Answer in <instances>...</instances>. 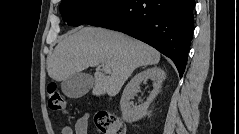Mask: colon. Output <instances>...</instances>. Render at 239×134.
<instances>
[{
  "instance_id": "colon-1",
  "label": "colon",
  "mask_w": 239,
  "mask_h": 134,
  "mask_svg": "<svg viewBox=\"0 0 239 134\" xmlns=\"http://www.w3.org/2000/svg\"><path fill=\"white\" fill-rule=\"evenodd\" d=\"M47 100L49 108L56 112L68 113L67 103L58 91L54 82L47 88ZM97 130L103 134H126L124 122L115 114L110 112H99L94 117Z\"/></svg>"
}]
</instances>
